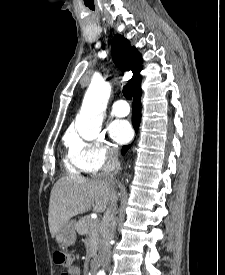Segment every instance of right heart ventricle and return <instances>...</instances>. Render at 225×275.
<instances>
[{
    "mask_svg": "<svg viewBox=\"0 0 225 275\" xmlns=\"http://www.w3.org/2000/svg\"><path fill=\"white\" fill-rule=\"evenodd\" d=\"M66 167L71 173L75 174H79L83 171L71 155L66 159Z\"/></svg>",
    "mask_w": 225,
    "mask_h": 275,
    "instance_id": "right-heart-ventricle-1",
    "label": "right heart ventricle"
}]
</instances>
